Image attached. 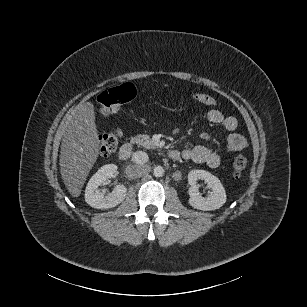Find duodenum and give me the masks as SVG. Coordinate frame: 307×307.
Wrapping results in <instances>:
<instances>
[{"label": "duodenum", "mask_w": 307, "mask_h": 307, "mask_svg": "<svg viewBox=\"0 0 307 307\" xmlns=\"http://www.w3.org/2000/svg\"><path fill=\"white\" fill-rule=\"evenodd\" d=\"M133 146L130 143L123 144L119 149V158L121 160H128L132 154ZM168 156L173 159L177 160L179 157V153L176 150H170L168 152Z\"/></svg>", "instance_id": "1"}]
</instances>
